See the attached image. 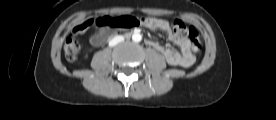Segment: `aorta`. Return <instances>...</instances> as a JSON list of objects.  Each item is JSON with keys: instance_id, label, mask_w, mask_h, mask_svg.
Listing matches in <instances>:
<instances>
[{"instance_id": "1", "label": "aorta", "mask_w": 276, "mask_h": 120, "mask_svg": "<svg viewBox=\"0 0 276 120\" xmlns=\"http://www.w3.org/2000/svg\"><path fill=\"white\" fill-rule=\"evenodd\" d=\"M132 40H133L134 42H140V41L142 40L141 34H140V33H134V34L132 35Z\"/></svg>"}]
</instances>
